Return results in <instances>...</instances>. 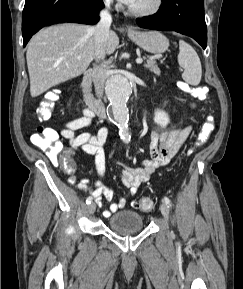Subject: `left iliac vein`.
I'll return each mask as SVG.
<instances>
[{"label": "left iliac vein", "mask_w": 243, "mask_h": 289, "mask_svg": "<svg viewBox=\"0 0 243 289\" xmlns=\"http://www.w3.org/2000/svg\"><path fill=\"white\" fill-rule=\"evenodd\" d=\"M160 211L163 215V217L168 220V217H169V207L165 204V203H162L160 205Z\"/></svg>", "instance_id": "obj_1"}]
</instances>
